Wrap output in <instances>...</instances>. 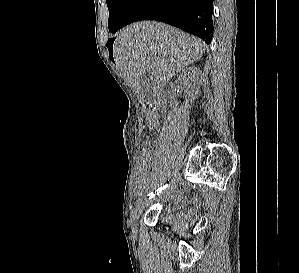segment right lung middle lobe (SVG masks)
Returning a JSON list of instances; mask_svg holds the SVG:
<instances>
[{
	"mask_svg": "<svg viewBox=\"0 0 299 273\" xmlns=\"http://www.w3.org/2000/svg\"><path fill=\"white\" fill-rule=\"evenodd\" d=\"M133 1L106 0L109 10L108 28L110 32L115 33L120 28V24Z\"/></svg>",
	"mask_w": 299,
	"mask_h": 273,
	"instance_id": "obj_1",
	"label": "right lung middle lobe"
}]
</instances>
